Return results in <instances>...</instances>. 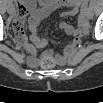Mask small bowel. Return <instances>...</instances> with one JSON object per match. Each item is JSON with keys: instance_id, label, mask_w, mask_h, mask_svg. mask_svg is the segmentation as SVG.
<instances>
[{"instance_id": "c3829d8e", "label": "small bowel", "mask_w": 103, "mask_h": 103, "mask_svg": "<svg viewBox=\"0 0 103 103\" xmlns=\"http://www.w3.org/2000/svg\"><path fill=\"white\" fill-rule=\"evenodd\" d=\"M15 6L17 13L13 21V39L14 42L28 54L26 61L31 67L38 66L40 61L47 56H54L58 64H65L74 54L82 38L88 34L89 5L85 2L45 0L38 5L35 1L29 0L25 2L18 1L15 3ZM7 7H12L11 11L12 13L14 12L13 4L10 3ZM60 8H66V10L61 13L64 18L78 16L76 25L66 22L60 24L61 29L67 35L71 36V39L61 52L53 53L51 50L40 52L47 46L48 39L39 33V25L44 18ZM27 15H29L28 29L30 31L29 39L31 43L28 42L23 27ZM19 20H23V23H20Z\"/></svg>"}]
</instances>
